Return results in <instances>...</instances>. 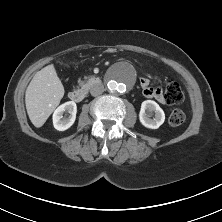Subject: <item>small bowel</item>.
Segmentation results:
<instances>
[{
    "label": "small bowel",
    "instance_id": "c3829d8e",
    "mask_svg": "<svg viewBox=\"0 0 222 222\" xmlns=\"http://www.w3.org/2000/svg\"><path fill=\"white\" fill-rule=\"evenodd\" d=\"M140 85L145 97L155 99L163 104L165 103L161 89L151 86L148 78L142 77L140 79Z\"/></svg>",
    "mask_w": 222,
    "mask_h": 222
}]
</instances>
